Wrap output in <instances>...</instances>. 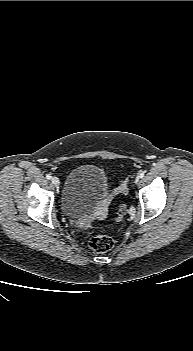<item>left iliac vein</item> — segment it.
Segmentation results:
<instances>
[{
    "label": "left iliac vein",
    "instance_id": "1",
    "mask_svg": "<svg viewBox=\"0 0 193 351\" xmlns=\"http://www.w3.org/2000/svg\"><path fill=\"white\" fill-rule=\"evenodd\" d=\"M134 182L137 184L139 182V177H136Z\"/></svg>",
    "mask_w": 193,
    "mask_h": 351
}]
</instances>
